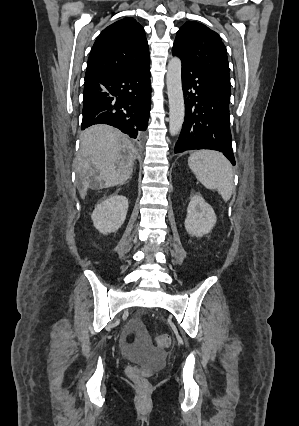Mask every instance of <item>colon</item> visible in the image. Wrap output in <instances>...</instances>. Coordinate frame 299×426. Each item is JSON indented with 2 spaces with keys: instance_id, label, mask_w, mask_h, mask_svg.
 <instances>
[{
  "instance_id": "obj_1",
  "label": "colon",
  "mask_w": 299,
  "mask_h": 426,
  "mask_svg": "<svg viewBox=\"0 0 299 426\" xmlns=\"http://www.w3.org/2000/svg\"><path fill=\"white\" fill-rule=\"evenodd\" d=\"M139 331L144 334L143 325L139 326ZM155 346L159 349H165L170 345V337L167 334H161L154 340ZM126 373L128 377L142 390L146 391L149 388L148 378L151 376V371L138 366H130Z\"/></svg>"
}]
</instances>
